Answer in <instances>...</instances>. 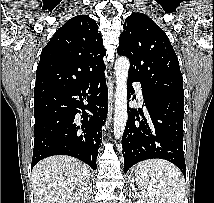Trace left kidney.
I'll return each instance as SVG.
<instances>
[{
	"label": "left kidney",
	"instance_id": "1",
	"mask_svg": "<svg viewBox=\"0 0 214 203\" xmlns=\"http://www.w3.org/2000/svg\"><path fill=\"white\" fill-rule=\"evenodd\" d=\"M135 203H142V202H140V201H137V202H135Z\"/></svg>",
	"mask_w": 214,
	"mask_h": 203
}]
</instances>
